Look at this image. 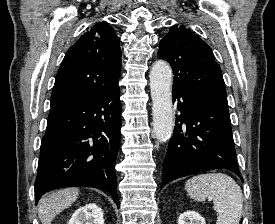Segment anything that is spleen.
Segmentation results:
<instances>
[{"label":"spleen","instance_id":"spleen-1","mask_svg":"<svg viewBox=\"0 0 275 224\" xmlns=\"http://www.w3.org/2000/svg\"><path fill=\"white\" fill-rule=\"evenodd\" d=\"M185 190L195 201L211 197L217 212L216 224H239L243 209V195L239 185L223 173H207L193 176L185 184Z\"/></svg>","mask_w":275,"mask_h":224}]
</instances>
